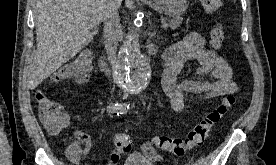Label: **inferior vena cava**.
I'll list each match as a JSON object with an SVG mask.
<instances>
[{
	"mask_svg": "<svg viewBox=\"0 0 276 165\" xmlns=\"http://www.w3.org/2000/svg\"><path fill=\"white\" fill-rule=\"evenodd\" d=\"M112 1L107 6L105 15H104V44L106 51L108 53V61L113 66L116 59V51L118 38L121 35V24L118 14V5Z\"/></svg>",
	"mask_w": 276,
	"mask_h": 165,
	"instance_id": "inferior-vena-cava-1",
	"label": "inferior vena cava"
}]
</instances>
